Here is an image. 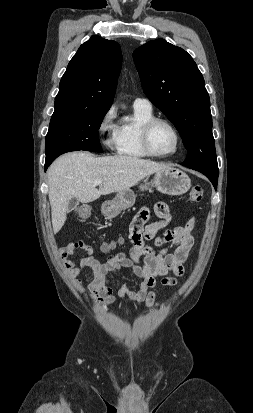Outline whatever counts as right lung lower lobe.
Instances as JSON below:
<instances>
[{
    "mask_svg": "<svg viewBox=\"0 0 253 413\" xmlns=\"http://www.w3.org/2000/svg\"><path fill=\"white\" fill-rule=\"evenodd\" d=\"M54 159L52 160H46L45 161V170L48 168V166L53 162Z\"/></svg>",
    "mask_w": 253,
    "mask_h": 413,
    "instance_id": "1",
    "label": "right lung lower lobe"
}]
</instances>
